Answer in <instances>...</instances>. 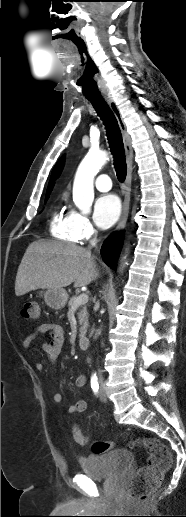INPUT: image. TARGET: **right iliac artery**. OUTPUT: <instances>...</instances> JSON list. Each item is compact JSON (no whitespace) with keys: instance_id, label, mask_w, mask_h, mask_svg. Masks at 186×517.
<instances>
[{"instance_id":"obj_1","label":"right iliac artery","mask_w":186,"mask_h":517,"mask_svg":"<svg viewBox=\"0 0 186 517\" xmlns=\"http://www.w3.org/2000/svg\"><path fill=\"white\" fill-rule=\"evenodd\" d=\"M91 388L95 394L98 393L99 383H98V378H97L96 374H93L91 377Z\"/></svg>"}]
</instances>
